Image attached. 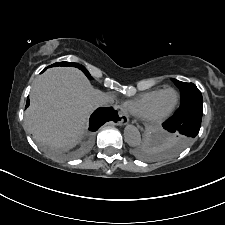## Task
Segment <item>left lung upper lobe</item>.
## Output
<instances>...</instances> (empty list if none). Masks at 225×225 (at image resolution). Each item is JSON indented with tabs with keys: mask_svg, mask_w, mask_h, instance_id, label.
Masks as SVG:
<instances>
[{
	"mask_svg": "<svg viewBox=\"0 0 225 225\" xmlns=\"http://www.w3.org/2000/svg\"><path fill=\"white\" fill-rule=\"evenodd\" d=\"M172 80L176 84V86L181 90V105L177 111H181L183 109H186L192 106H203L202 94L198 90L195 84L181 82L176 79H172ZM173 138H174L175 150H180L181 148L191 143L193 140V139L184 137L180 134H173Z\"/></svg>",
	"mask_w": 225,
	"mask_h": 225,
	"instance_id": "5c2ea615",
	"label": "left lung upper lobe"
}]
</instances>
